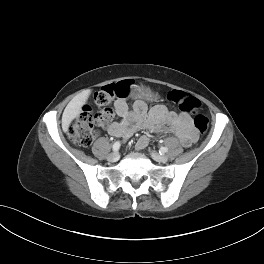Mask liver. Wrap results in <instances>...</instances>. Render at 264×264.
Instances as JSON below:
<instances>
[{"label": "liver", "instance_id": "1", "mask_svg": "<svg viewBox=\"0 0 264 264\" xmlns=\"http://www.w3.org/2000/svg\"><path fill=\"white\" fill-rule=\"evenodd\" d=\"M91 94L90 89H86L76 95L66 106L62 115V129L66 132L71 122L79 116L82 111V106L86 104Z\"/></svg>", "mask_w": 264, "mask_h": 264}]
</instances>
